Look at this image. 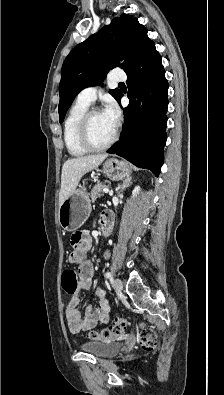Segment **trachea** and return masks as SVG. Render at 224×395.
Masks as SVG:
<instances>
[{
	"instance_id": "1",
	"label": "trachea",
	"mask_w": 224,
	"mask_h": 395,
	"mask_svg": "<svg viewBox=\"0 0 224 395\" xmlns=\"http://www.w3.org/2000/svg\"><path fill=\"white\" fill-rule=\"evenodd\" d=\"M119 85H121V86H122V85H124V83H119Z\"/></svg>"
}]
</instances>
